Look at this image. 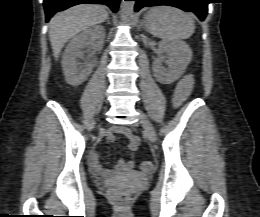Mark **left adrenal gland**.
I'll use <instances>...</instances> for the list:
<instances>
[{"instance_id": "left-adrenal-gland-1", "label": "left adrenal gland", "mask_w": 260, "mask_h": 217, "mask_svg": "<svg viewBox=\"0 0 260 217\" xmlns=\"http://www.w3.org/2000/svg\"><path fill=\"white\" fill-rule=\"evenodd\" d=\"M141 26L144 27L145 30H147V27H146V22L145 20H142L141 22Z\"/></svg>"}]
</instances>
